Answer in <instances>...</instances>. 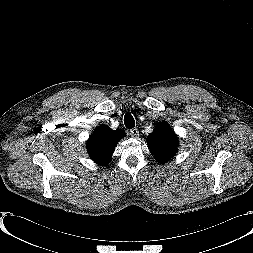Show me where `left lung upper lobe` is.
<instances>
[{
    "instance_id": "left-lung-upper-lobe-1",
    "label": "left lung upper lobe",
    "mask_w": 253,
    "mask_h": 253,
    "mask_svg": "<svg viewBox=\"0 0 253 253\" xmlns=\"http://www.w3.org/2000/svg\"><path fill=\"white\" fill-rule=\"evenodd\" d=\"M147 144L159 163H166L178 150V137L166 122H160L147 137Z\"/></svg>"
}]
</instances>
